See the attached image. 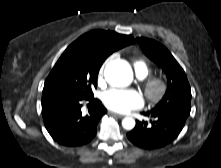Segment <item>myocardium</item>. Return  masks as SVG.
Here are the masks:
<instances>
[{"label":"myocardium","instance_id":"obj_1","mask_svg":"<svg viewBox=\"0 0 221 168\" xmlns=\"http://www.w3.org/2000/svg\"><path fill=\"white\" fill-rule=\"evenodd\" d=\"M144 92L151 103H159L168 92V83L161 76L149 77L144 83Z\"/></svg>","mask_w":221,"mask_h":168}]
</instances>
